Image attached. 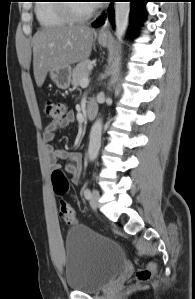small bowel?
Masks as SVG:
<instances>
[{
  "mask_svg": "<svg viewBox=\"0 0 195 299\" xmlns=\"http://www.w3.org/2000/svg\"><path fill=\"white\" fill-rule=\"evenodd\" d=\"M73 121L74 115L69 113L60 122L48 124L43 133L44 140L47 142L52 141L60 129L69 127ZM47 152L53 165L61 160H66L68 162L65 167L66 171L72 174V181L77 184L81 177L82 154L80 152H70L65 149H58L52 145L47 146Z\"/></svg>",
  "mask_w": 195,
  "mask_h": 299,
  "instance_id": "c3829d8e",
  "label": "small bowel"
}]
</instances>
